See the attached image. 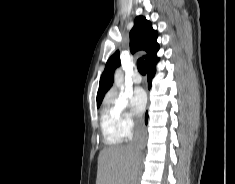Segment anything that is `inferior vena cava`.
Segmentation results:
<instances>
[{
    "label": "inferior vena cava",
    "mask_w": 235,
    "mask_h": 184,
    "mask_svg": "<svg viewBox=\"0 0 235 184\" xmlns=\"http://www.w3.org/2000/svg\"><path fill=\"white\" fill-rule=\"evenodd\" d=\"M146 130L144 126V120L142 118H136L134 128V138L130 144L134 154L140 156L141 150L146 146Z\"/></svg>",
    "instance_id": "602c4592"
}]
</instances>
